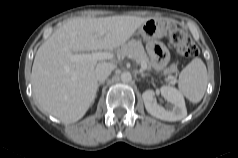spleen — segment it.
<instances>
[{
  "mask_svg": "<svg viewBox=\"0 0 238 158\" xmlns=\"http://www.w3.org/2000/svg\"><path fill=\"white\" fill-rule=\"evenodd\" d=\"M206 87V66L200 58H194L179 75V92L189 101L198 103L202 100Z\"/></svg>",
  "mask_w": 238,
  "mask_h": 158,
  "instance_id": "obj_1",
  "label": "spleen"
}]
</instances>
